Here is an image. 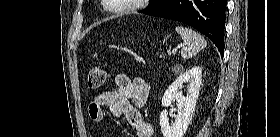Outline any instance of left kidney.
Here are the masks:
<instances>
[{
    "instance_id": "5707ae66",
    "label": "left kidney",
    "mask_w": 280,
    "mask_h": 137,
    "mask_svg": "<svg viewBox=\"0 0 280 137\" xmlns=\"http://www.w3.org/2000/svg\"><path fill=\"white\" fill-rule=\"evenodd\" d=\"M202 79V69L199 66L192 67L181 73L176 80L168 87L162 97L164 111L160 114V126L164 137H183L191 122L195 105L199 96ZM187 83V94L183 95L178 91ZM177 101L178 115L174 122H169L168 107L173 100Z\"/></svg>"
}]
</instances>
